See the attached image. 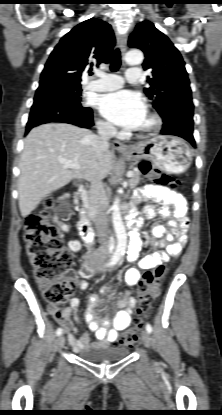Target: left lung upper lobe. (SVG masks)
Instances as JSON below:
<instances>
[{
  "mask_svg": "<svg viewBox=\"0 0 222 415\" xmlns=\"http://www.w3.org/2000/svg\"><path fill=\"white\" fill-rule=\"evenodd\" d=\"M129 46L145 54L143 68L152 74L147 76L150 87L144 92L153 101L154 108L163 120L171 116L181 119L182 102L192 98L185 62L178 49L149 21L136 26Z\"/></svg>",
  "mask_w": 222,
  "mask_h": 415,
  "instance_id": "left-lung-upper-lobe-1",
  "label": "left lung upper lobe"
}]
</instances>
